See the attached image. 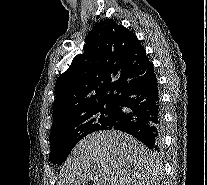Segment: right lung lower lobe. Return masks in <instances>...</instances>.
<instances>
[{
    "mask_svg": "<svg viewBox=\"0 0 207 185\" xmlns=\"http://www.w3.org/2000/svg\"><path fill=\"white\" fill-rule=\"evenodd\" d=\"M117 120L102 130L131 134L149 149H158L162 137V112L155 74L129 83L119 94Z\"/></svg>",
    "mask_w": 207,
    "mask_h": 185,
    "instance_id": "right-lung-lower-lobe-1",
    "label": "right lung lower lobe"
}]
</instances>
